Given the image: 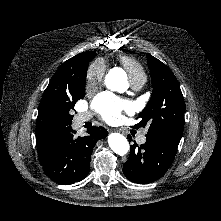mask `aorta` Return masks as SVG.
Returning <instances> with one entry per match:
<instances>
[{
	"label": "aorta",
	"mask_w": 221,
	"mask_h": 221,
	"mask_svg": "<svg viewBox=\"0 0 221 221\" xmlns=\"http://www.w3.org/2000/svg\"><path fill=\"white\" fill-rule=\"evenodd\" d=\"M105 84L112 91H120L127 84L126 73L123 70L112 69L105 79ZM110 148L118 155L124 156L129 151V143L120 133H112L108 136Z\"/></svg>",
	"instance_id": "aorta-1"
}]
</instances>
